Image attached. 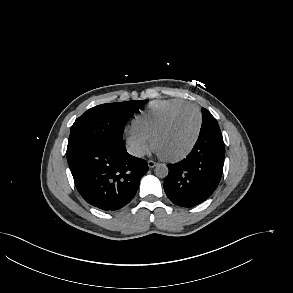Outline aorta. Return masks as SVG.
<instances>
[{
	"instance_id": "1",
	"label": "aorta",
	"mask_w": 293,
	"mask_h": 293,
	"mask_svg": "<svg viewBox=\"0 0 293 293\" xmlns=\"http://www.w3.org/2000/svg\"><path fill=\"white\" fill-rule=\"evenodd\" d=\"M154 173L159 178H165L168 175V167L165 164H157Z\"/></svg>"
}]
</instances>
